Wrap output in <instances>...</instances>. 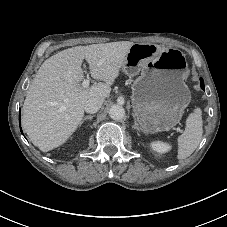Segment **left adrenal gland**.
Returning a JSON list of instances; mask_svg holds the SVG:
<instances>
[{
	"instance_id": "obj_1",
	"label": "left adrenal gland",
	"mask_w": 227,
	"mask_h": 227,
	"mask_svg": "<svg viewBox=\"0 0 227 227\" xmlns=\"http://www.w3.org/2000/svg\"><path fill=\"white\" fill-rule=\"evenodd\" d=\"M133 118H134V120H135V116H134V115H133ZM133 128H134L136 131H139V128H138V125H137L136 121H135V124H134Z\"/></svg>"
}]
</instances>
